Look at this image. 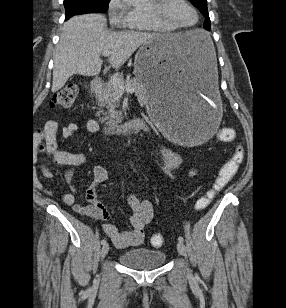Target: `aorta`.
Segmentation results:
<instances>
[{"label":"aorta","mask_w":286,"mask_h":308,"mask_svg":"<svg viewBox=\"0 0 286 308\" xmlns=\"http://www.w3.org/2000/svg\"><path fill=\"white\" fill-rule=\"evenodd\" d=\"M127 4H139L146 2L147 0H123Z\"/></svg>","instance_id":"aorta-1"}]
</instances>
